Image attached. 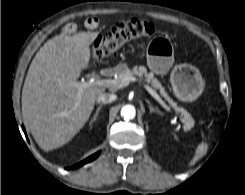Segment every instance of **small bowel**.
Segmentation results:
<instances>
[{"label":"small bowel","mask_w":245,"mask_h":195,"mask_svg":"<svg viewBox=\"0 0 245 195\" xmlns=\"http://www.w3.org/2000/svg\"><path fill=\"white\" fill-rule=\"evenodd\" d=\"M85 26L88 29H96L99 26V20L97 18H88L85 20ZM77 30L75 23H68L64 26V32L66 34H72Z\"/></svg>","instance_id":"1"}]
</instances>
